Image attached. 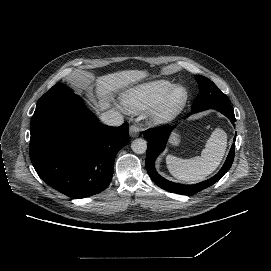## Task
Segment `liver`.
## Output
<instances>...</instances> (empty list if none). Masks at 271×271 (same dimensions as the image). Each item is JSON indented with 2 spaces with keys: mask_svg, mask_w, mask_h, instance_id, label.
<instances>
[{
  "mask_svg": "<svg viewBox=\"0 0 271 271\" xmlns=\"http://www.w3.org/2000/svg\"><path fill=\"white\" fill-rule=\"evenodd\" d=\"M145 77L147 72L142 70H125L97 77L95 90L100 109L106 110L110 107L113 92Z\"/></svg>",
  "mask_w": 271,
  "mask_h": 271,
  "instance_id": "1",
  "label": "liver"
}]
</instances>
